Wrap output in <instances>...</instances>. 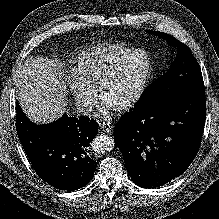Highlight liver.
I'll list each match as a JSON object with an SVG mask.
<instances>
[{"instance_id": "1", "label": "liver", "mask_w": 219, "mask_h": 219, "mask_svg": "<svg viewBox=\"0 0 219 219\" xmlns=\"http://www.w3.org/2000/svg\"><path fill=\"white\" fill-rule=\"evenodd\" d=\"M59 68L44 57H28L17 71V99L23 112L36 124L51 123L66 110V90Z\"/></svg>"}]
</instances>
